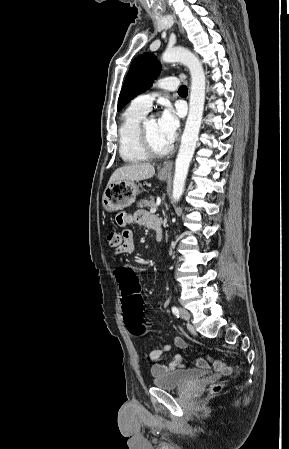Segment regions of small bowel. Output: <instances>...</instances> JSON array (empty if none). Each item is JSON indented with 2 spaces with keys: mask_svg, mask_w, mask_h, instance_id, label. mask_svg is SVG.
Segmentation results:
<instances>
[{
  "mask_svg": "<svg viewBox=\"0 0 289 449\" xmlns=\"http://www.w3.org/2000/svg\"><path fill=\"white\" fill-rule=\"evenodd\" d=\"M117 222L122 227H125L126 225L135 223L138 225H143V226L149 227L151 229H154V226L156 224H160V220L157 216L152 215L146 211H137L135 213L123 212L118 215ZM122 235H123L124 241L117 253H119V254L133 253L135 250V245H134V237H133L132 231L129 229H124ZM120 268H129V267H120ZM130 270L132 271L131 268H130ZM173 343L177 348H179L181 350H184L187 348L186 341L184 339H182L181 337H175L173 340ZM170 348H171V345L169 343H166L164 345L163 349H154V350L150 351L149 356H148L149 361H151V362L158 361L160 359L161 355L163 354V352L166 350H169ZM195 365L202 369H206V368H209L210 366L211 367L214 366V368L216 370H218L219 372H221L224 375H229L232 372V368L230 366L217 361L215 358L214 359L210 358L209 360H206L204 358H198L195 361ZM183 366L184 365H183L182 355L176 354L174 356L173 360L167 364H162V363L154 364L151 367V373L154 376H158V375H162L164 373L173 371V370L183 367Z\"/></svg>",
  "mask_w": 289,
  "mask_h": 449,
  "instance_id": "small-bowel-1",
  "label": "small bowel"
}]
</instances>
